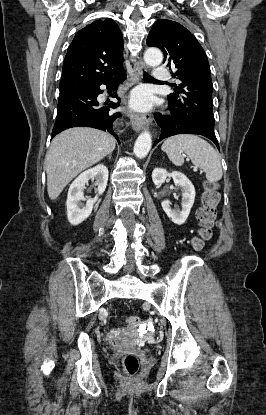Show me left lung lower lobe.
<instances>
[{
  "label": "left lung lower lobe",
  "instance_id": "left-lung-lower-lobe-1",
  "mask_svg": "<svg viewBox=\"0 0 266 415\" xmlns=\"http://www.w3.org/2000/svg\"><path fill=\"white\" fill-rule=\"evenodd\" d=\"M169 109L172 112L171 116L161 115L160 113L155 114V120L162 130L160 138L155 141L154 145L164 138L177 134H199L212 140L219 149L214 131H210L199 124L185 120L179 111L170 105Z\"/></svg>",
  "mask_w": 266,
  "mask_h": 415
}]
</instances>
